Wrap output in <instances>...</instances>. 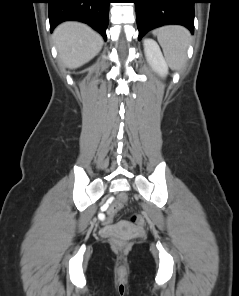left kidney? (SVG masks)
I'll return each mask as SVG.
<instances>
[{
	"label": "left kidney",
	"mask_w": 239,
	"mask_h": 296,
	"mask_svg": "<svg viewBox=\"0 0 239 296\" xmlns=\"http://www.w3.org/2000/svg\"><path fill=\"white\" fill-rule=\"evenodd\" d=\"M144 51L147 61L152 68L161 76L165 77L168 73V65L162 55L159 45L153 39L144 41Z\"/></svg>",
	"instance_id": "obj_1"
}]
</instances>
